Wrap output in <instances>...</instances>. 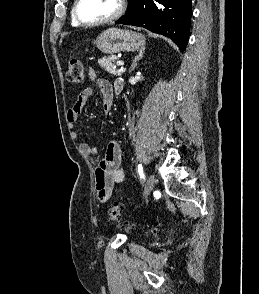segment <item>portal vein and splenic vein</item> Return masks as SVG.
<instances>
[{
	"label": "portal vein and splenic vein",
	"mask_w": 259,
	"mask_h": 294,
	"mask_svg": "<svg viewBox=\"0 0 259 294\" xmlns=\"http://www.w3.org/2000/svg\"><path fill=\"white\" fill-rule=\"evenodd\" d=\"M118 66H123L124 65V62L123 61H117L116 63Z\"/></svg>",
	"instance_id": "1"
}]
</instances>
